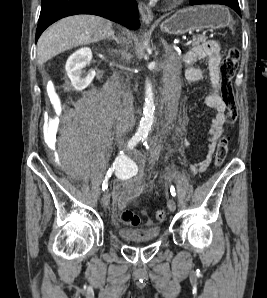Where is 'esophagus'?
Listing matches in <instances>:
<instances>
[{"mask_svg":"<svg viewBox=\"0 0 267 298\" xmlns=\"http://www.w3.org/2000/svg\"><path fill=\"white\" fill-rule=\"evenodd\" d=\"M139 12L141 14L142 20L145 24H151L153 21L152 10L143 2L138 4Z\"/></svg>","mask_w":267,"mask_h":298,"instance_id":"1","label":"esophagus"}]
</instances>
